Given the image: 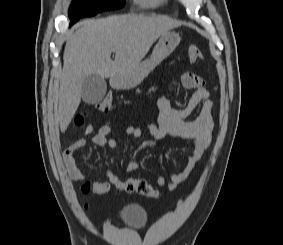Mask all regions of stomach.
Instances as JSON below:
<instances>
[{
    "label": "stomach",
    "mask_w": 283,
    "mask_h": 245,
    "mask_svg": "<svg viewBox=\"0 0 283 245\" xmlns=\"http://www.w3.org/2000/svg\"><path fill=\"white\" fill-rule=\"evenodd\" d=\"M180 36L174 32L162 35L149 58L138 63L134 68L112 79L115 87L131 89L139 85L151 71L167 58L180 43Z\"/></svg>",
    "instance_id": "0dacf381"
}]
</instances>
